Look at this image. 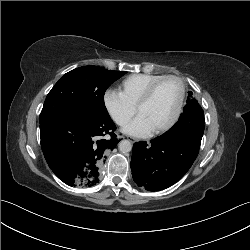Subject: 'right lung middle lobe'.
<instances>
[{"label": "right lung middle lobe", "instance_id": "dd1d6c3e", "mask_svg": "<svg viewBox=\"0 0 250 250\" xmlns=\"http://www.w3.org/2000/svg\"><path fill=\"white\" fill-rule=\"evenodd\" d=\"M125 73L83 66L64 74L46 97L40 123L63 114H108L104 93Z\"/></svg>", "mask_w": 250, "mask_h": 250}]
</instances>
